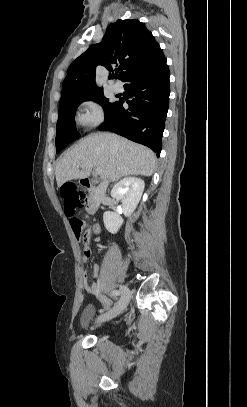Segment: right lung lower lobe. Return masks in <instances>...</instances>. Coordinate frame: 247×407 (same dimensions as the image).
Segmentation results:
<instances>
[{"instance_id":"right-lung-lower-lobe-1","label":"right lung lower lobe","mask_w":247,"mask_h":407,"mask_svg":"<svg viewBox=\"0 0 247 407\" xmlns=\"http://www.w3.org/2000/svg\"><path fill=\"white\" fill-rule=\"evenodd\" d=\"M169 76L165 57L131 73L124 85L129 96L135 97L128 102L129 109L123 108L124 100L120 98L98 129L143 144L159 157L169 106Z\"/></svg>"}]
</instances>
